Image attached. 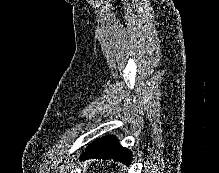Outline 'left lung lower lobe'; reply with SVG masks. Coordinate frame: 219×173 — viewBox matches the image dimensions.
<instances>
[{
  "label": "left lung lower lobe",
  "mask_w": 219,
  "mask_h": 173,
  "mask_svg": "<svg viewBox=\"0 0 219 173\" xmlns=\"http://www.w3.org/2000/svg\"><path fill=\"white\" fill-rule=\"evenodd\" d=\"M89 158L114 159L130 164L132 155L128 149L120 146L116 137L109 135L96 140L80 156V160Z\"/></svg>",
  "instance_id": "1"
}]
</instances>
